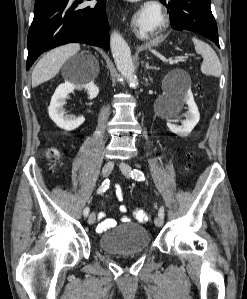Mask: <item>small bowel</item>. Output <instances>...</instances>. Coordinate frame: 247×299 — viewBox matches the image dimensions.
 <instances>
[{"label":"small bowel","instance_id":"c3829d8e","mask_svg":"<svg viewBox=\"0 0 247 299\" xmlns=\"http://www.w3.org/2000/svg\"><path fill=\"white\" fill-rule=\"evenodd\" d=\"M118 187L119 186H117L116 189ZM115 194H116L117 200L122 201L123 194L122 195H119L117 193H115ZM126 210H127V208H126L125 205H120L119 206V211L120 212L124 213V212H126ZM97 218L100 221L99 224L97 225V228H96V230H97L98 233H102V232H104V231H106V230H108L110 228H113L117 224L116 220H114L112 218H106V214L104 212H99L97 214ZM121 220H122V222H128L130 219L127 216H123L121 218Z\"/></svg>","mask_w":247,"mask_h":299}]
</instances>
